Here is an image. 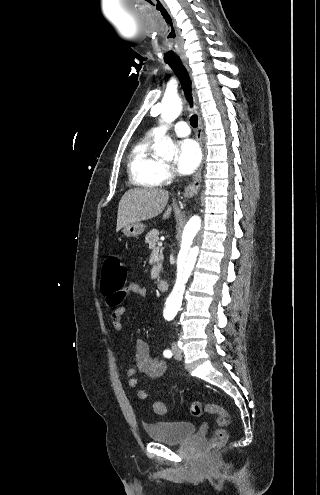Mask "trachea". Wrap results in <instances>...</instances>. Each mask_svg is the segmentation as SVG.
<instances>
[{"label":"trachea","instance_id":"3493384b","mask_svg":"<svg viewBox=\"0 0 320 495\" xmlns=\"http://www.w3.org/2000/svg\"><path fill=\"white\" fill-rule=\"evenodd\" d=\"M168 64L172 67L176 75L178 76L180 83L182 85V88L184 90V94L186 96V99L190 103V107H193L192 103V94H191V80L189 77V74L184 67V65L181 63L180 60H171L168 61ZM190 124L192 127H197L198 125V117L197 115H192L190 118Z\"/></svg>","mask_w":320,"mask_h":495}]
</instances>
